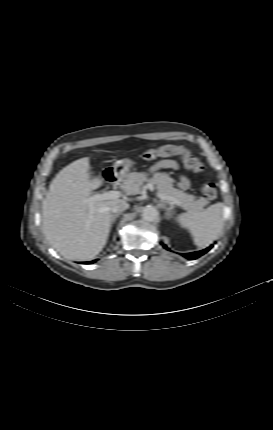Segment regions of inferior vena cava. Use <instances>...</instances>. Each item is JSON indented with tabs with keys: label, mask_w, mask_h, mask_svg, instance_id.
Wrapping results in <instances>:
<instances>
[{
	"label": "inferior vena cava",
	"mask_w": 273,
	"mask_h": 430,
	"mask_svg": "<svg viewBox=\"0 0 273 430\" xmlns=\"http://www.w3.org/2000/svg\"><path fill=\"white\" fill-rule=\"evenodd\" d=\"M129 208V204L124 200H119L114 202V204L110 207V211L113 213L122 212Z\"/></svg>",
	"instance_id": "1"
}]
</instances>
